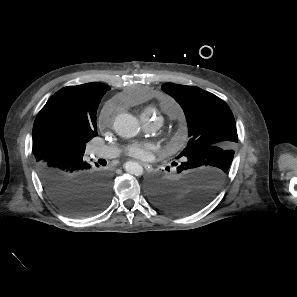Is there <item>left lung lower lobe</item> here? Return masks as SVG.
I'll return each instance as SVG.
<instances>
[{"label": "left lung lower lobe", "instance_id": "1", "mask_svg": "<svg viewBox=\"0 0 297 297\" xmlns=\"http://www.w3.org/2000/svg\"><path fill=\"white\" fill-rule=\"evenodd\" d=\"M183 164L178 165L176 177L153 179L148 186L153 203L176 214H189L203 208L217 194L225 180L219 171L188 169Z\"/></svg>", "mask_w": 297, "mask_h": 297}]
</instances>
